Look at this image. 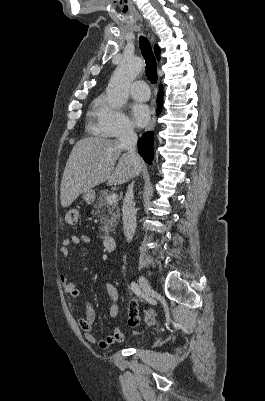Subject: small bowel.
Returning <instances> with one entry per match:
<instances>
[{"label":"small bowel","instance_id":"small-bowel-1","mask_svg":"<svg viewBox=\"0 0 265 401\" xmlns=\"http://www.w3.org/2000/svg\"><path fill=\"white\" fill-rule=\"evenodd\" d=\"M90 241H91L90 237L86 234L72 235L63 240L62 246L60 247V254L62 255V257L67 258L69 256L71 247L78 246L80 244H88L90 243ZM60 281L63 285L64 291L68 298L69 308L71 311H74L75 308L70 301L79 296L80 290L78 288V285L74 282H70L65 274H62L60 276ZM104 287L106 289L108 296L112 301V305L108 310V315L110 319H116L119 313V308L117 304L119 298L118 290L113 284L109 282H104ZM137 311H138V301L137 299L132 298L129 303V313H128L129 326H131L129 323V316ZM95 319L96 315L92 304L90 302H86L84 316H78L77 322L83 332L85 339L88 342L96 345L98 348L107 349L113 344L121 343L124 341L125 335L118 326L114 327L112 334L106 336L103 339H97L93 332V324L95 322Z\"/></svg>","mask_w":265,"mask_h":401}]
</instances>
